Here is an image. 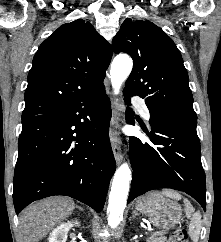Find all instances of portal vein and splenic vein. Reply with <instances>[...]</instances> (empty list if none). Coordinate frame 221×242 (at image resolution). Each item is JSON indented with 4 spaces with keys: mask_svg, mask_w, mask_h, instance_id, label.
I'll return each instance as SVG.
<instances>
[{
    "mask_svg": "<svg viewBox=\"0 0 221 242\" xmlns=\"http://www.w3.org/2000/svg\"><path fill=\"white\" fill-rule=\"evenodd\" d=\"M148 230H149V231H152V230H153V228H151V227H150Z\"/></svg>",
    "mask_w": 221,
    "mask_h": 242,
    "instance_id": "portal-vein-and-splenic-vein-1",
    "label": "portal vein and splenic vein"
}]
</instances>
